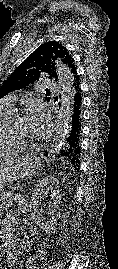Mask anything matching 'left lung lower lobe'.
<instances>
[{"label":"left lung lower lobe","instance_id":"left-lung-lower-lobe-1","mask_svg":"<svg viewBox=\"0 0 118 269\" xmlns=\"http://www.w3.org/2000/svg\"><path fill=\"white\" fill-rule=\"evenodd\" d=\"M72 115H71V128L66 137L64 145L59 152L60 156L68 158L75 168L79 167V157H80V114H81V93H80V83L73 87L72 92ZM48 152H45L47 155Z\"/></svg>","mask_w":118,"mask_h":269}]
</instances>
